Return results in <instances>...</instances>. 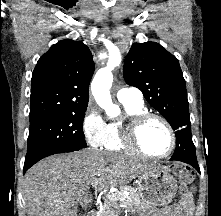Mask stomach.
<instances>
[{"label": "stomach", "mask_w": 221, "mask_h": 216, "mask_svg": "<svg viewBox=\"0 0 221 216\" xmlns=\"http://www.w3.org/2000/svg\"><path fill=\"white\" fill-rule=\"evenodd\" d=\"M177 189L175 178L162 166H157L138 176V194L143 205L166 206L174 199Z\"/></svg>", "instance_id": "1"}]
</instances>
